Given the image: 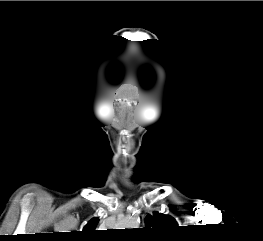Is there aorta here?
I'll use <instances>...</instances> for the list:
<instances>
[{"label": "aorta", "mask_w": 263, "mask_h": 241, "mask_svg": "<svg viewBox=\"0 0 263 241\" xmlns=\"http://www.w3.org/2000/svg\"><path fill=\"white\" fill-rule=\"evenodd\" d=\"M139 224V220L137 219V217L135 216H129L127 218H125L121 223H120V227L121 229H125V228H137Z\"/></svg>", "instance_id": "obj_1"}]
</instances>
